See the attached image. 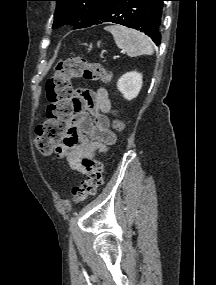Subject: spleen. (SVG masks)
Here are the masks:
<instances>
[{"label": "spleen", "instance_id": "3e777b00", "mask_svg": "<svg viewBox=\"0 0 216 285\" xmlns=\"http://www.w3.org/2000/svg\"><path fill=\"white\" fill-rule=\"evenodd\" d=\"M104 29L113 35L117 47L129 57L153 54V47L144 34L120 25L106 26Z\"/></svg>", "mask_w": 216, "mask_h": 285}]
</instances>
